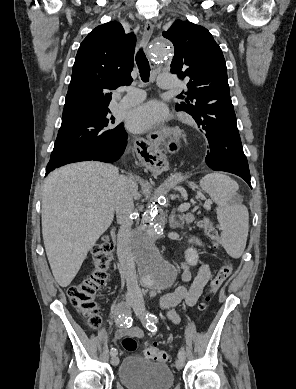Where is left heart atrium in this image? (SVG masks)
<instances>
[{"mask_svg": "<svg viewBox=\"0 0 296 389\" xmlns=\"http://www.w3.org/2000/svg\"><path fill=\"white\" fill-rule=\"evenodd\" d=\"M166 116L167 108L164 104L148 101L129 112L127 126L132 132H145L165 120Z\"/></svg>", "mask_w": 296, "mask_h": 389, "instance_id": "1", "label": "left heart atrium"}]
</instances>
